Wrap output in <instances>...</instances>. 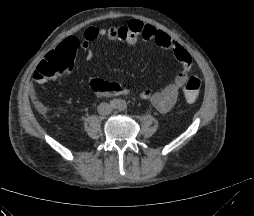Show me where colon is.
<instances>
[{"label":"colon","mask_w":254,"mask_h":216,"mask_svg":"<svg viewBox=\"0 0 254 216\" xmlns=\"http://www.w3.org/2000/svg\"><path fill=\"white\" fill-rule=\"evenodd\" d=\"M72 53L65 48L51 51L38 65L36 76L40 79L51 80L70 69ZM200 89L201 80L198 77L188 78L183 87L185 100L194 103L199 97Z\"/></svg>","instance_id":"colon-1"}]
</instances>
